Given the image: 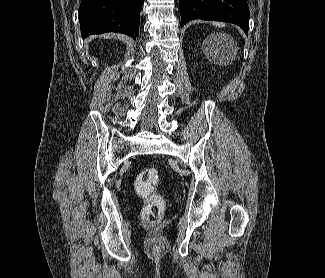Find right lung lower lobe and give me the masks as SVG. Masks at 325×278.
<instances>
[{"mask_svg":"<svg viewBox=\"0 0 325 278\" xmlns=\"http://www.w3.org/2000/svg\"><path fill=\"white\" fill-rule=\"evenodd\" d=\"M142 0H82L79 8L81 34L119 32L138 36Z\"/></svg>","mask_w":325,"mask_h":278,"instance_id":"98d812e1","label":"right lung lower lobe"}]
</instances>
